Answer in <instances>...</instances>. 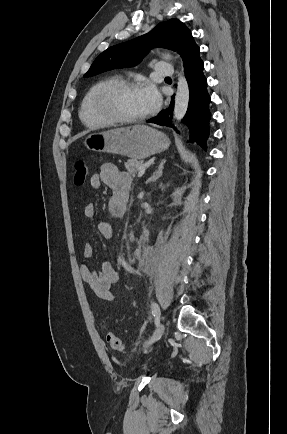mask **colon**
<instances>
[{
    "instance_id": "5ec220e1",
    "label": "colon",
    "mask_w": 287,
    "mask_h": 434,
    "mask_svg": "<svg viewBox=\"0 0 287 434\" xmlns=\"http://www.w3.org/2000/svg\"><path fill=\"white\" fill-rule=\"evenodd\" d=\"M89 169L87 164L83 160H77L74 163V183L76 185H83L88 177ZM106 341L109 344V346L116 350V351H122L124 350V343L123 341L116 336L114 333L108 331L106 332Z\"/></svg>"
}]
</instances>
